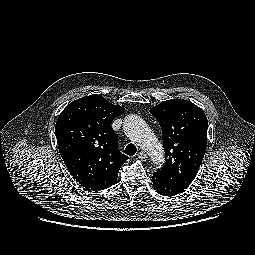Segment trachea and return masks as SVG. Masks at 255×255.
<instances>
[{
  "label": "trachea",
  "mask_w": 255,
  "mask_h": 255,
  "mask_svg": "<svg viewBox=\"0 0 255 255\" xmlns=\"http://www.w3.org/2000/svg\"><path fill=\"white\" fill-rule=\"evenodd\" d=\"M137 151V148L134 144L130 143L125 148V154L133 156Z\"/></svg>",
  "instance_id": "1"
}]
</instances>
